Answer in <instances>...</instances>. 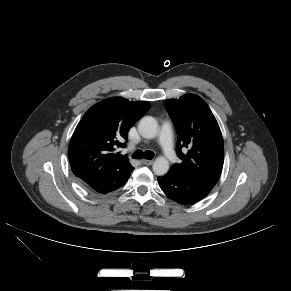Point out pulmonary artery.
I'll return each instance as SVG.
<instances>
[{
    "label": "pulmonary artery",
    "mask_w": 291,
    "mask_h": 291,
    "mask_svg": "<svg viewBox=\"0 0 291 291\" xmlns=\"http://www.w3.org/2000/svg\"><path fill=\"white\" fill-rule=\"evenodd\" d=\"M158 144L160 145L165 157L170 162L176 161V155L172 145V124L170 121H165L161 127Z\"/></svg>",
    "instance_id": "e3ab8cb5"
}]
</instances>
